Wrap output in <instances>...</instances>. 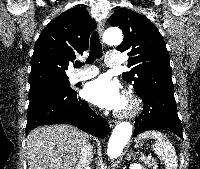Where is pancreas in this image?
Returning a JSON list of instances; mask_svg holds the SVG:
<instances>
[{
  "instance_id": "obj_1",
  "label": "pancreas",
  "mask_w": 200,
  "mask_h": 169,
  "mask_svg": "<svg viewBox=\"0 0 200 169\" xmlns=\"http://www.w3.org/2000/svg\"><path fill=\"white\" fill-rule=\"evenodd\" d=\"M143 162L149 168H152V169L158 168L157 162L155 160L146 159Z\"/></svg>"
}]
</instances>
